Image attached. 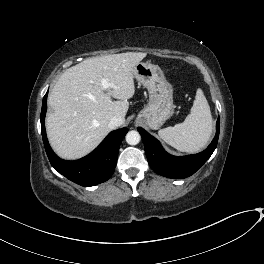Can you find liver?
<instances>
[{
    "label": "liver",
    "instance_id": "liver-1",
    "mask_svg": "<svg viewBox=\"0 0 264 264\" xmlns=\"http://www.w3.org/2000/svg\"><path fill=\"white\" fill-rule=\"evenodd\" d=\"M146 55L126 52L89 58L60 76L48 96L52 111L46 117L47 136L59 157L74 160L96 148L110 132L112 117L124 124L128 100L135 93L133 70ZM102 79L115 88L105 90Z\"/></svg>",
    "mask_w": 264,
    "mask_h": 264
}]
</instances>
